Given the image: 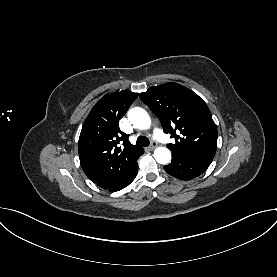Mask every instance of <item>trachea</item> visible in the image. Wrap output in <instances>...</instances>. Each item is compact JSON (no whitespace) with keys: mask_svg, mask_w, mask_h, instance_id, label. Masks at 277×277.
I'll return each instance as SVG.
<instances>
[{"mask_svg":"<svg viewBox=\"0 0 277 277\" xmlns=\"http://www.w3.org/2000/svg\"><path fill=\"white\" fill-rule=\"evenodd\" d=\"M137 146L145 147L150 144L149 139L147 137L139 136L136 141Z\"/></svg>","mask_w":277,"mask_h":277,"instance_id":"obj_1","label":"trachea"}]
</instances>
